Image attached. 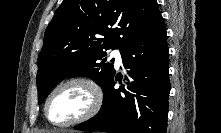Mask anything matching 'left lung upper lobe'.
Returning a JSON list of instances; mask_svg holds the SVG:
<instances>
[{
    "instance_id": "1",
    "label": "left lung upper lobe",
    "mask_w": 221,
    "mask_h": 133,
    "mask_svg": "<svg viewBox=\"0 0 221 133\" xmlns=\"http://www.w3.org/2000/svg\"><path fill=\"white\" fill-rule=\"evenodd\" d=\"M160 16L156 0H64L38 56V103L66 77H89L104 89L115 72L104 50H121Z\"/></svg>"
}]
</instances>
